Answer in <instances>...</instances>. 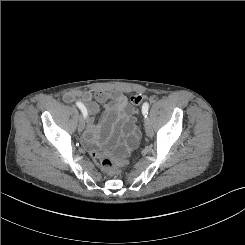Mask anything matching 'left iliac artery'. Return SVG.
I'll return each mask as SVG.
<instances>
[{"label":"left iliac artery","instance_id":"44dca946","mask_svg":"<svg viewBox=\"0 0 245 245\" xmlns=\"http://www.w3.org/2000/svg\"><path fill=\"white\" fill-rule=\"evenodd\" d=\"M148 109H149V103L148 102H145L143 105H142V113L145 117H147V114H148Z\"/></svg>","mask_w":245,"mask_h":245}]
</instances>
